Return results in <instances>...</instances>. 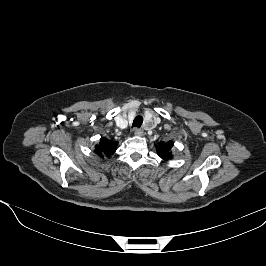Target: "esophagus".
Here are the masks:
<instances>
[{"mask_svg": "<svg viewBox=\"0 0 266 266\" xmlns=\"http://www.w3.org/2000/svg\"><path fill=\"white\" fill-rule=\"evenodd\" d=\"M134 135H136V136H143L144 135V132H143L142 129L137 128L134 131Z\"/></svg>", "mask_w": 266, "mask_h": 266, "instance_id": "esophagus-1", "label": "esophagus"}]
</instances>
